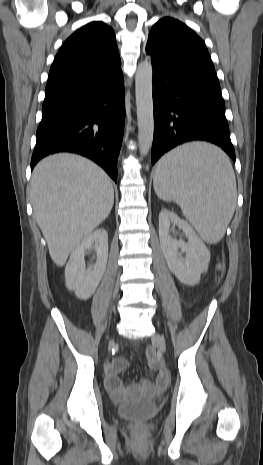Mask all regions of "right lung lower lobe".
Masks as SVG:
<instances>
[{"instance_id": "right-lung-lower-lobe-1", "label": "right lung lower lobe", "mask_w": 263, "mask_h": 465, "mask_svg": "<svg viewBox=\"0 0 263 465\" xmlns=\"http://www.w3.org/2000/svg\"><path fill=\"white\" fill-rule=\"evenodd\" d=\"M124 121L122 72L45 93L31 169L49 154L73 152L92 159L116 182Z\"/></svg>"}]
</instances>
